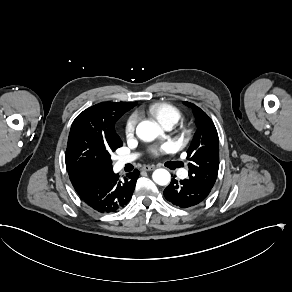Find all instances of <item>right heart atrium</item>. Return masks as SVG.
<instances>
[{
  "label": "right heart atrium",
  "mask_w": 292,
  "mask_h": 292,
  "mask_svg": "<svg viewBox=\"0 0 292 292\" xmlns=\"http://www.w3.org/2000/svg\"><path fill=\"white\" fill-rule=\"evenodd\" d=\"M138 122V117L136 114L132 113L126 117L123 123L122 131L125 139L129 142L133 140L135 135V130Z\"/></svg>",
  "instance_id": "right-heart-atrium-1"
}]
</instances>
